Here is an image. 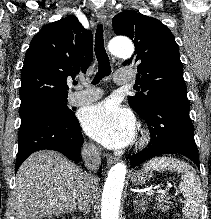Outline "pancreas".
Segmentation results:
<instances>
[{
    "label": "pancreas",
    "mask_w": 211,
    "mask_h": 219,
    "mask_svg": "<svg viewBox=\"0 0 211 219\" xmlns=\"http://www.w3.org/2000/svg\"><path fill=\"white\" fill-rule=\"evenodd\" d=\"M157 209L166 211L169 209V205L172 204L171 198L167 196V194L163 193L156 197Z\"/></svg>",
    "instance_id": "1"
}]
</instances>
